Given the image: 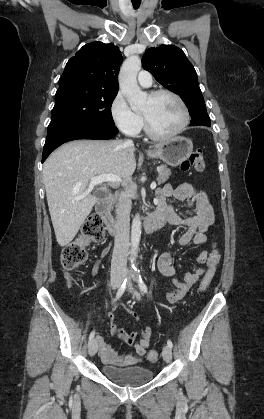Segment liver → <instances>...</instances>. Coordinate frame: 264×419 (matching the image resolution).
<instances>
[{"label": "liver", "instance_id": "1", "mask_svg": "<svg viewBox=\"0 0 264 419\" xmlns=\"http://www.w3.org/2000/svg\"><path fill=\"white\" fill-rule=\"evenodd\" d=\"M134 152L133 145L122 140H76L58 148L45 161L43 182L60 246L75 238L98 200L89 188L91 178L104 174L131 177L136 169Z\"/></svg>", "mask_w": 264, "mask_h": 419}]
</instances>
